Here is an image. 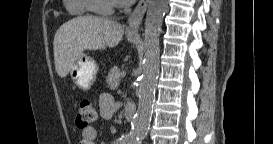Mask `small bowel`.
<instances>
[{
	"instance_id": "c3829d8e",
	"label": "small bowel",
	"mask_w": 273,
	"mask_h": 144,
	"mask_svg": "<svg viewBox=\"0 0 273 144\" xmlns=\"http://www.w3.org/2000/svg\"><path fill=\"white\" fill-rule=\"evenodd\" d=\"M119 108V104L113 99V97L107 93H104L99 98V112L100 116L104 120H110ZM98 136V132L95 127L89 126L82 130L81 139L78 144H94Z\"/></svg>"
}]
</instances>
